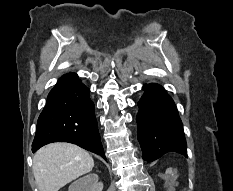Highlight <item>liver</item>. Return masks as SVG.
Returning <instances> with one entry per match:
<instances>
[{
  "instance_id": "1",
  "label": "liver",
  "mask_w": 233,
  "mask_h": 191,
  "mask_svg": "<svg viewBox=\"0 0 233 191\" xmlns=\"http://www.w3.org/2000/svg\"><path fill=\"white\" fill-rule=\"evenodd\" d=\"M93 167L94 160L88 152L59 142L40 148L33 157L32 169L39 191H58Z\"/></svg>"
}]
</instances>
